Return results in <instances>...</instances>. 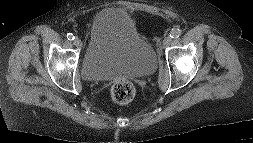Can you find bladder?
<instances>
[{"mask_svg":"<svg viewBox=\"0 0 253 143\" xmlns=\"http://www.w3.org/2000/svg\"><path fill=\"white\" fill-rule=\"evenodd\" d=\"M156 64L152 46L139 34L127 12L109 7L96 14L81 64L87 80L143 77L153 73Z\"/></svg>","mask_w":253,"mask_h":143,"instance_id":"bladder-1","label":"bladder"}]
</instances>
